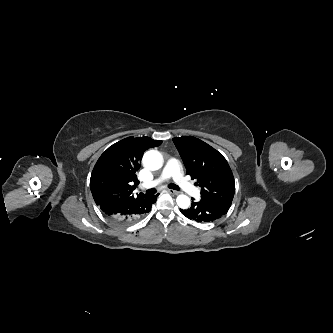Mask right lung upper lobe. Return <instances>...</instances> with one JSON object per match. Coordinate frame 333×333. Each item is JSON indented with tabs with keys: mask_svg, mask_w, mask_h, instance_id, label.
<instances>
[{
	"mask_svg": "<svg viewBox=\"0 0 333 333\" xmlns=\"http://www.w3.org/2000/svg\"><path fill=\"white\" fill-rule=\"evenodd\" d=\"M162 141L150 137H128L110 146L96 162L90 188L95 203L99 206L113 199L133 200L134 186L137 185L136 171L145 150L157 147Z\"/></svg>",
	"mask_w": 333,
	"mask_h": 333,
	"instance_id": "cb5924a9",
	"label": "right lung upper lobe"
}]
</instances>
